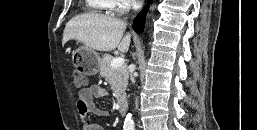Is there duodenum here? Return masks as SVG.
Returning <instances> with one entry per match:
<instances>
[{
  "label": "duodenum",
  "instance_id": "410a0bca",
  "mask_svg": "<svg viewBox=\"0 0 257 130\" xmlns=\"http://www.w3.org/2000/svg\"><path fill=\"white\" fill-rule=\"evenodd\" d=\"M128 110V102L125 99H120L118 101V111L120 114L125 115Z\"/></svg>",
  "mask_w": 257,
  "mask_h": 130
}]
</instances>
